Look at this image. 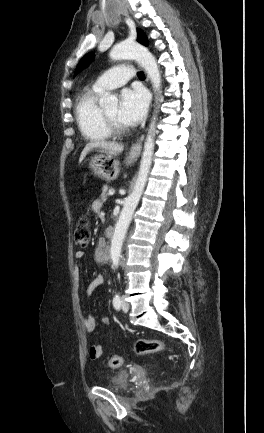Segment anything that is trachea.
I'll list each match as a JSON object with an SVG mask.
<instances>
[{"instance_id": "1", "label": "trachea", "mask_w": 264, "mask_h": 433, "mask_svg": "<svg viewBox=\"0 0 264 433\" xmlns=\"http://www.w3.org/2000/svg\"><path fill=\"white\" fill-rule=\"evenodd\" d=\"M138 77H139L140 79H145L144 73L141 72V71L138 73Z\"/></svg>"}]
</instances>
